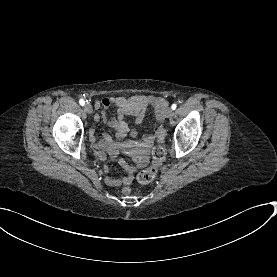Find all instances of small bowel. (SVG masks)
<instances>
[{"label": "small bowel", "instance_id": "small-bowel-1", "mask_svg": "<svg viewBox=\"0 0 277 277\" xmlns=\"http://www.w3.org/2000/svg\"><path fill=\"white\" fill-rule=\"evenodd\" d=\"M112 104L116 108V113L111 119L108 111L103 110L100 113L101 118L105 119L107 125L116 130L118 137L127 135L135 137L137 132L135 129L128 127L125 118L127 116L134 117L136 124H141L145 118L146 111L149 107L153 108L155 117L161 115L164 117V110L167 102L164 98L152 95H135L131 97L116 96L111 98ZM98 103V100H95ZM101 105L104 108L109 107L110 101L107 98L101 100ZM99 116H95V120H99ZM152 135L145 136L142 140H130L119 145L113 143L109 136H104L103 139L96 143L93 141V149L101 156L103 151H107L110 155H117L120 149L129 152L134 157V164H128L125 161H120V167L126 173L120 178H108L107 183L112 186L129 185L137 170L143 168L147 163V151L154 143ZM105 161V158H102ZM108 171V168H105Z\"/></svg>", "mask_w": 277, "mask_h": 277}]
</instances>
